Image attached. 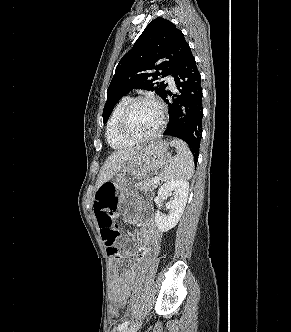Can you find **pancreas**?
I'll return each mask as SVG.
<instances>
[{
    "instance_id": "pancreas-1",
    "label": "pancreas",
    "mask_w": 291,
    "mask_h": 332,
    "mask_svg": "<svg viewBox=\"0 0 291 332\" xmlns=\"http://www.w3.org/2000/svg\"><path fill=\"white\" fill-rule=\"evenodd\" d=\"M157 187V184L153 183V179H147L135 183V188L143 192H152Z\"/></svg>"
}]
</instances>
